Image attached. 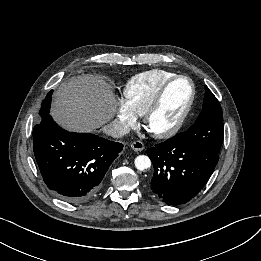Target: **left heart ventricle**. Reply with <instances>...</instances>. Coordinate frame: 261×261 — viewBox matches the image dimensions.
<instances>
[{"mask_svg": "<svg viewBox=\"0 0 261 261\" xmlns=\"http://www.w3.org/2000/svg\"><path fill=\"white\" fill-rule=\"evenodd\" d=\"M191 96V85L186 79L176 81L167 91L159 110L150 120V128L163 131L172 127L181 117Z\"/></svg>", "mask_w": 261, "mask_h": 261, "instance_id": "obj_1", "label": "left heart ventricle"}]
</instances>
